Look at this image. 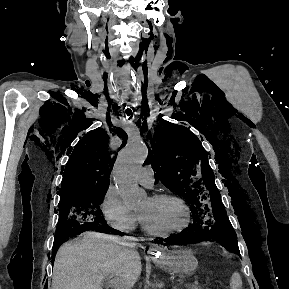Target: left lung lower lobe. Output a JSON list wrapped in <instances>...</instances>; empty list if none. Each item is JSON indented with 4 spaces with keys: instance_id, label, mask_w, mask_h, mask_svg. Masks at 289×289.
I'll return each instance as SVG.
<instances>
[{
    "instance_id": "1",
    "label": "left lung lower lobe",
    "mask_w": 289,
    "mask_h": 289,
    "mask_svg": "<svg viewBox=\"0 0 289 289\" xmlns=\"http://www.w3.org/2000/svg\"><path fill=\"white\" fill-rule=\"evenodd\" d=\"M213 229L205 226L190 225L179 235L168 237L165 242L169 245H186L195 243L200 238H211L216 240Z\"/></svg>"
}]
</instances>
